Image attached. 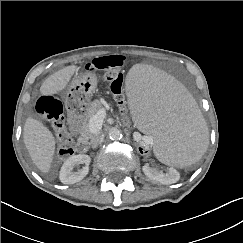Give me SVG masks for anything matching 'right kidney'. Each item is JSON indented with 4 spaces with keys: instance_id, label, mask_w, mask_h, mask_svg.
I'll list each match as a JSON object with an SVG mask.
<instances>
[{
    "instance_id": "obj_1",
    "label": "right kidney",
    "mask_w": 243,
    "mask_h": 243,
    "mask_svg": "<svg viewBox=\"0 0 243 243\" xmlns=\"http://www.w3.org/2000/svg\"><path fill=\"white\" fill-rule=\"evenodd\" d=\"M91 158L85 154L69 157L61 167L59 178L63 184H74L81 181L89 172ZM85 164L82 169L73 171L75 165Z\"/></svg>"
}]
</instances>
